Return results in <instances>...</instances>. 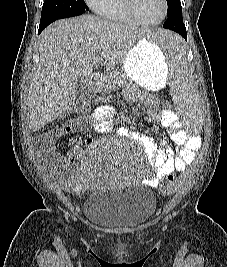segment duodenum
<instances>
[{"label":"duodenum","instance_id":"1","mask_svg":"<svg viewBox=\"0 0 227 267\" xmlns=\"http://www.w3.org/2000/svg\"><path fill=\"white\" fill-rule=\"evenodd\" d=\"M102 81H103V76L102 75L94 74L92 76V79H91L92 86H97V85L101 84Z\"/></svg>","mask_w":227,"mask_h":267}]
</instances>
